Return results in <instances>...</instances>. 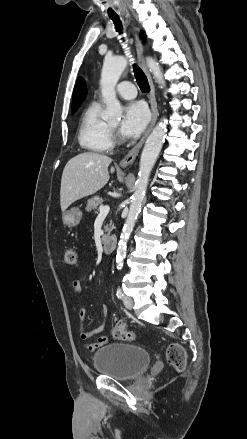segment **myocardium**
I'll return each instance as SVG.
<instances>
[{"label":"myocardium","mask_w":247,"mask_h":439,"mask_svg":"<svg viewBox=\"0 0 247 439\" xmlns=\"http://www.w3.org/2000/svg\"><path fill=\"white\" fill-rule=\"evenodd\" d=\"M110 130H111V133L113 134V132H114V126L110 125Z\"/></svg>","instance_id":"myocardium-1"}]
</instances>
